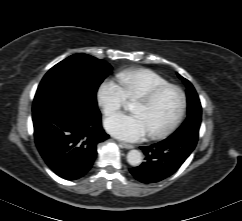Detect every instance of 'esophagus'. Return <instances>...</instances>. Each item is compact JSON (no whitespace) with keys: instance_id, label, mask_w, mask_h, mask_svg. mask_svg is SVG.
Listing matches in <instances>:
<instances>
[{"instance_id":"obj_1","label":"esophagus","mask_w":242,"mask_h":221,"mask_svg":"<svg viewBox=\"0 0 242 221\" xmlns=\"http://www.w3.org/2000/svg\"><path fill=\"white\" fill-rule=\"evenodd\" d=\"M119 145L123 148H126V149H133L134 146L131 145V144H128V143H125V142H119Z\"/></svg>"}]
</instances>
